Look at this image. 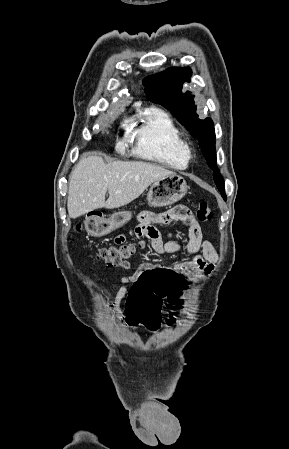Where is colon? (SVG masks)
<instances>
[{"label": "colon", "mask_w": 289, "mask_h": 449, "mask_svg": "<svg viewBox=\"0 0 289 449\" xmlns=\"http://www.w3.org/2000/svg\"><path fill=\"white\" fill-rule=\"evenodd\" d=\"M196 219L201 222L212 220L213 211L208 202L201 201L196 211ZM88 225L95 226V221L90 220ZM81 224L77 226L80 230ZM136 250V246L130 243L115 244L100 249L97 259L107 266H119L127 261ZM186 280L180 271L174 268H144L140 276L130 289L126 302L127 320L131 325L142 323L150 330H156L161 323L162 306L169 303L178 306L177 295L185 288Z\"/></svg>", "instance_id": "5ec220e1"}]
</instances>
